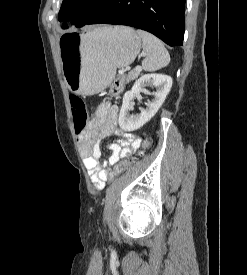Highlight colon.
I'll return each instance as SVG.
<instances>
[{
	"label": "colon",
	"mask_w": 247,
	"mask_h": 275,
	"mask_svg": "<svg viewBox=\"0 0 247 275\" xmlns=\"http://www.w3.org/2000/svg\"><path fill=\"white\" fill-rule=\"evenodd\" d=\"M123 89V80L121 77L117 78L111 88L112 95H118ZM70 103L73 115L74 129L77 134H81L86 127L88 120V110L87 106L82 98L77 95L70 96ZM147 142L145 141L143 147H145ZM133 155L126 159L121 160L111 171L109 175L110 180H114L120 174L124 173L130 166L138 161L139 155Z\"/></svg>",
	"instance_id": "5ec220e1"
}]
</instances>
